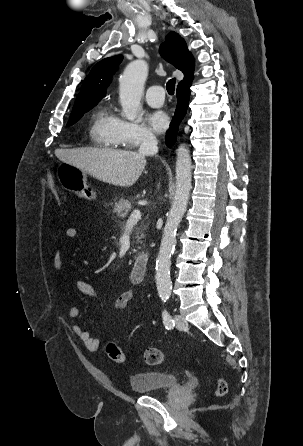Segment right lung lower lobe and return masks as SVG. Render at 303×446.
I'll return each instance as SVG.
<instances>
[{
	"label": "right lung lower lobe",
	"mask_w": 303,
	"mask_h": 446,
	"mask_svg": "<svg viewBox=\"0 0 303 446\" xmlns=\"http://www.w3.org/2000/svg\"><path fill=\"white\" fill-rule=\"evenodd\" d=\"M191 82L192 80L178 85L177 87L178 104L176 113L166 135V144L168 147H171L174 144L179 123L182 121L187 112Z\"/></svg>",
	"instance_id": "1"
}]
</instances>
